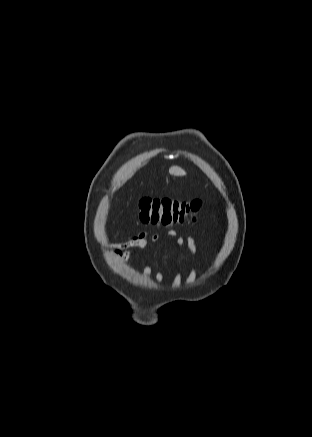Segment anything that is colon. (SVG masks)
<instances>
[{
	"instance_id": "5ec220e1",
	"label": "colon",
	"mask_w": 312,
	"mask_h": 437,
	"mask_svg": "<svg viewBox=\"0 0 312 437\" xmlns=\"http://www.w3.org/2000/svg\"><path fill=\"white\" fill-rule=\"evenodd\" d=\"M200 200L181 201L171 198H142L138 202V217L145 224H183L196 221L202 209Z\"/></svg>"
}]
</instances>
